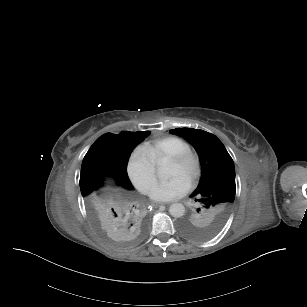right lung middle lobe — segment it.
I'll return each instance as SVG.
<instances>
[{
	"label": "right lung middle lobe",
	"mask_w": 307,
	"mask_h": 307,
	"mask_svg": "<svg viewBox=\"0 0 307 307\" xmlns=\"http://www.w3.org/2000/svg\"><path fill=\"white\" fill-rule=\"evenodd\" d=\"M110 174L111 168L105 161L95 154L87 152L81 167L80 190L82 196L101 186L105 177Z\"/></svg>",
	"instance_id": "dd1d6c3e"
}]
</instances>
